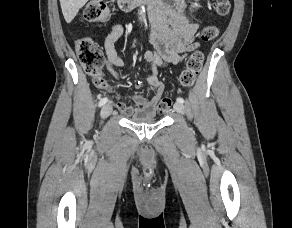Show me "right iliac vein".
Here are the masks:
<instances>
[{"instance_id":"63e3f726","label":"right iliac vein","mask_w":292,"mask_h":228,"mask_svg":"<svg viewBox=\"0 0 292 228\" xmlns=\"http://www.w3.org/2000/svg\"><path fill=\"white\" fill-rule=\"evenodd\" d=\"M112 112V104L108 103L104 105L101 109L100 115L102 119L107 118Z\"/></svg>"}]
</instances>
